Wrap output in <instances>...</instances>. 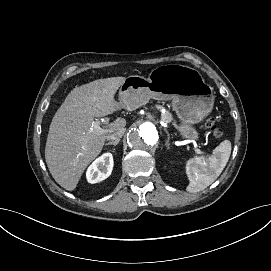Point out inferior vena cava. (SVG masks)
<instances>
[{
	"label": "inferior vena cava",
	"instance_id": "inferior-vena-cava-1",
	"mask_svg": "<svg viewBox=\"0 0 271 271\" xmlns=\"http://www.w3.org/2000/svg\"><path fill=\"white\" fill-rule=\"evenodd\" d=\"M123 133L124 132L122 130H119L117 132H114L113 134H110V135L106 136V139L119 142V140L122 137Z\"/></svg>",
	"mask_w": 271,
	"mask_h": 271
}]
</instances>
